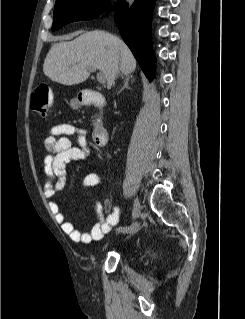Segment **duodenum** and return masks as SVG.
Masks as SVG:
<instances>
[{"label":"duodenum","instance_id":"obj_1","mask_svg":"<svg viewBox=\"0 0 245 319\" xmlns=\"http://www.w3.org/2000/svg\"><path fill=\"white\" fill-rule=\"evenodd\" d=\"M81 103L85 106H95L102 108L105 103L103 95L96 90L85 91L82 95ZM108 140V130L104 122L97 118L93 126V141L95 145L102 147L105 146Z\"/></svg>","mask_w":245,"mask_h":319}]
</instances>
